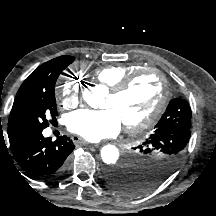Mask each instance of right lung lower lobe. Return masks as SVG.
Listing matches in <instances>:
<instances>
[{
	"instance_id": "right-lung-lower-lobe-1",
	"label": "right lung lower lobe",
	"mask_w": 216,
	"mask_h": 216,
	"mask_svg": "<svg viewBox=\"0 0 216 216\" xmlns=\"http://www.w3.org/2000/svg\"><path fill=\"white\" fill-rule=\"evenodd\" d=\"M9 142L17 163L39 180H49L61 173L67 157L75 148L67 136L52 141L51 137H43L42 130L20 132L9 136Z\"/></svg>"
}]
</instances>
